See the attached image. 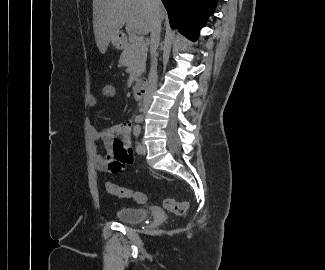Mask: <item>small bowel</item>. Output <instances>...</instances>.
Here are the masks:
<instances>
[{"label": "small bowel", "mask_w": 325, "mask_h": 270, "mask_svg": "<svg viewBox=\"0 0 325 270\" xmlns=\"http://www.w3.org/2000/svg\"><path fill=\"white\" fill-rule=\"evenodd\" d=\"M115 89V88H114ZM106 98V96H104ZM90 107L98 104L96 96L87 100ZM132 121L127 120L113 125L107 129L99 130L96 125H91L90 137L93 142V160L95 167L102 172H121L127 165L132 164L131 151ZM102 140L106 148V156L98 152L96 142Z\"/></svg>", "instance_id": "obj_1"}]
</instances>
